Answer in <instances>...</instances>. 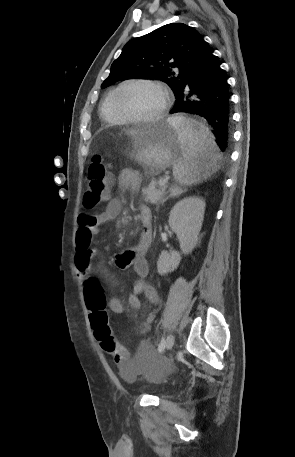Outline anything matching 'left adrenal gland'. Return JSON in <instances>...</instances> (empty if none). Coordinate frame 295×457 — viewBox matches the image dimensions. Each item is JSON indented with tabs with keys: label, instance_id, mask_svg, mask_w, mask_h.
Wrapping results in <instances>:
<instances>
[{
	"label": "left adrenal gland",
	"instance_id": "left-adrenal-gland-1",
	"mask_svg": "<svg viewBox=\"0 0 295 457\" xmlns=\"http://www.w3.org/2000/svg\"><path fill=\"white\" fill-rule=\"evenodd\" d=\"M172 196H175V192H174V191H172V193H171L166 199L163 200V203H164L168 198H170V197H172ZM157 209H158V207H157Z\"/></svg>",
	"mask_w": 295,
	"mask_h": 457
}]
</instances>
